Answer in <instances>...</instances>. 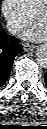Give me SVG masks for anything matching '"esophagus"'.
Wrapping results in <instances>:
<instances>
[{
  "instance_id": "1",
  "label": "esophagus",
  "mask_w": 47,
  "mask_h": 129,
  "mask_svg": "<svg viewBox=\"0 0 47 129\" xmlns=\"http://www.w3.org/2000/svg\"><path fill=\"white\" fill-rule=\"evenodd\" d=\"M23 49L25 52L33 51L35 49V46L32 44L25 43L23 44Z\"/></svg>"
}]
</instances>
